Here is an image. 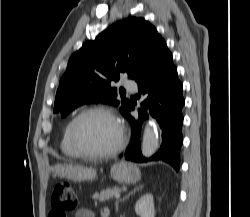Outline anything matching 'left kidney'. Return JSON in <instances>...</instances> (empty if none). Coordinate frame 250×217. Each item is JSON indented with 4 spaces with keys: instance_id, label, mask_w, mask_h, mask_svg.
<instances>
[{
    "instance_id": "5707ae66",
    "label": "left kidney",
    "mask_w": 250,
    "mask_h": 217,
    "mask_svg": "<svg viewBox=\"0 0 250 217\" xmlns=\"http://www.w3.org/2000/svg\"><path fill=\"white\" fill-rule=\"evenodd\" d=\"M135 212L140 217H155L152 194H145L135 204Z\"/></svg>"
}]
</instances>
